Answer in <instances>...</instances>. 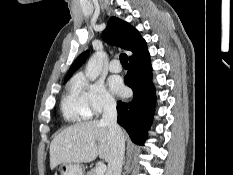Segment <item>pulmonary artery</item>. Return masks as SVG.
Here are the masks:
<instances>
[{"label": "pulmonary artery", "instance_id": "pulmonary-artery-1", "mask_svg": "<svg viewBox=\"0 0 233 175\" xmlns=\"http://www.w3.org/2000/svg\"><path fill=\"white\" fill-rule=\"evenodd\" d=\"M109 69L113 73H119L122 70L119 60L113 59L109 64Z\"/></svg>", "mask_w": 233, "mask_h": 175}]
</instances>
